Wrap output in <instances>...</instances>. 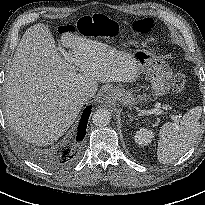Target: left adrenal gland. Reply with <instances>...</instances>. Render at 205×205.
Returning <instances> with one entry per match:
<instances>
[{
    "mask_svg": "<svg viewBox=\"0 0 205 205\" xmlns=\"http://www.w3.org/2000/svg\"><path fill=\"white\" fill-rule=\"evenodd\" d=\"M128 117L130 122H132L135 119V117H132L130 114H128Z\"/></svg>",
    "mask_w": 205,
    "mask_h": 205,
    "instance_id": "1",
    "label": "left adrenal gland"
}]
</instances>
